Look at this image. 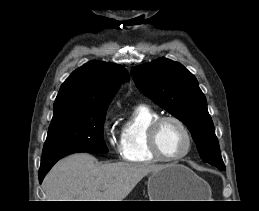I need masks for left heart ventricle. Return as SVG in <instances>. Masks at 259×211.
Returning <instances> with one entry per match:
<instances>
[{
  "label": "left heart ventricle",
  "instance_id": "b2bd125f",
  "mask_svg": "<svg viewBox=\"0 0 259 211\" xmlns=\"http://www.w3.org/2000/svg\"><path fill=\"white\" fill-rule=\"evenodd\" d=\"M158 141L162 152L169 157L179 155L187 145L183 130L173 121H167L161 126Z\"/></svg>",
  "mask_w": 259,
  "mask_h": 211
}]
</instances>
